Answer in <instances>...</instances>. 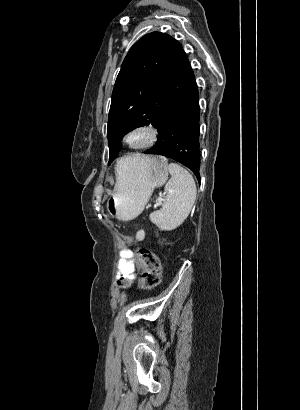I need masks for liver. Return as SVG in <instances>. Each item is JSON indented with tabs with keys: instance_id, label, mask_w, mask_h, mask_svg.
<instances>
[{
	"instance_id": "6515ba94",
	"label": "liver",
	"mask_w": 300,
	"mask_h": 410,
	"mask_svg": "<svg viewBox=\"0 0 300 410\" xmlns=\"http://www.w3.org/2000/svg\"><path fill=\"white\" fill-rule=\"evenodd\" d=\"M148 157L141 154H133L127 158V161L131 164L139 163L140 161L146 160Z\"/></svg>"
}]
</instances>
